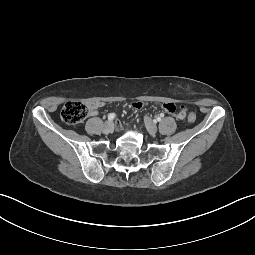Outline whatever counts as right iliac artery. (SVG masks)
Segmentation results:
<instances>
[{"mask_svg": "<svg viewBox=\"0 0 255 255\" xmlns=\"http://www.w3.org/2000/svg\"><path fill=\"white\" fill-rule=\"evenodd\" d=\"M115 117H116L115 113H110V114L108 115V120H109V121H112V120H114Z\"/></svg>", "mask_w": 255, "mask_h": 255, "instance_id": "obj_1", "label": "right iliac artery"}]
</instances>
